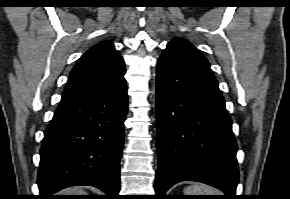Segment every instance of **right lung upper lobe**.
Instances as JSON below:
<instances>
[{"instance_id": "cb5924a9", "label": "right lung upper lobe", "mask_w": 290, "mask_h": 199, "mask_svg": "<svg viewBox=\"0 0 290 199\" xmlns=\"http://www.w3.org/2000/svg\"><path fill=\"white\" fill-rule=\"evenodd\" d=\"M124 74V61L113 43L100 42L90 48L72 69L60 104L110 91L125 82Z\"/></svg>"}]
</instances>
